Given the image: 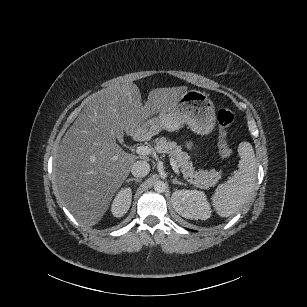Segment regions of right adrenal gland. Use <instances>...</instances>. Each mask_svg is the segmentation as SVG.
I'll return each instance as SVG.
<instances>
[{"mask_svg": "<svg viewBox=\"0 0 307 307\" xmlns=\"http://www.w3.org/2000/svg\"><path fill=\"white\" fill-rule=\"evenodd\" d=\"M132 180H135L136 182H139V181H141V178L130 177V178H127L125 181L128 182V181H132Z\"/></svg>", "mask_w": 307, "mask_h": 307, "instance_id": "obj_1", "label": "right adrenal gland"}]
</instances>
